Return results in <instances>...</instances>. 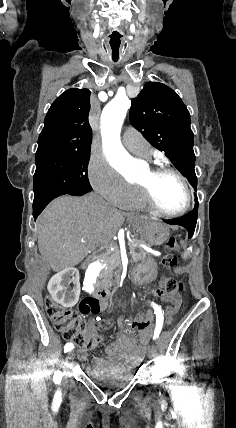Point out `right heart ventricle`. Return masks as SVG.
Instances as JSON below:
<instances>
[{"mask_svg":"<svg viewBox=\"0 0 236 428\" xmlns=\"http://www.w3.org/2000/svg\"><path fill=\"white\" fill-rule=\"evenodd\" d=\"M124 208L126 209H137V210H152L142 199L140 190L138 187H132V193L128 201L125 203Z\"/></svg>","mask_w":236,"mask_h":428,"instance_id":"1","label":"right heart ventricle"}]
</instances>
